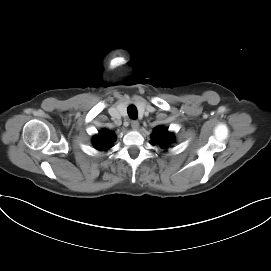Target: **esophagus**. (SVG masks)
<instances>
[{
    "mask_svg": "<svg viewBox=\"0 0 271 271\" xmlns=\"http://www.w3.org/2000/svg\"><path fill=\"white\" fill-rule=\"evenodd\" d=\"M131 127L134 129V130H137L139 128V122L137 120H132L131 121Z\"/></svg>",
    "mask_w": 271,
    "mask_h": 271,
    "instance_id": "esophagus-1",
    "label": "esophagus"
}]
</instances>
